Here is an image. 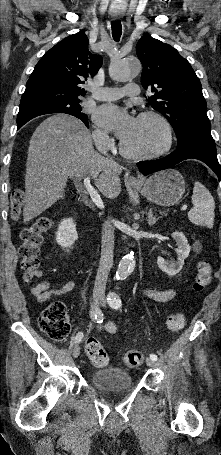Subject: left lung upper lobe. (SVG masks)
I'll list each match as a JSON object with an SVG mask.
<instances>
[{
    "instance_id": "1",
    "label": "left lung upper lobe",
    "mask_w": 221,
    "mask_h": 455,
    "mask_svg": "<svg viewBox=\"0 0 221 455\" xmlns=\"http://www.w3.org/2000/svg\"><path fill=\"white\" fill-rule=\"evenodd\" d=\"M143 65L141 84L153 95L148 103L172 125L178 144L189 136H211L201 83L189 62L178 51L150 36L136 45Z\"/></svg>"
}]
</instances>
